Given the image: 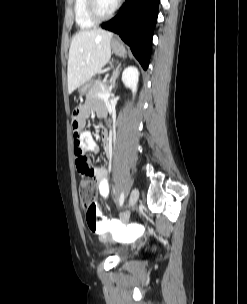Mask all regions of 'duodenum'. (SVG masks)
Instances as JSON below:
<instances>
[{"label":"duodenum","instance_id":"1","mask_svg":"<svg viewBox=\"0 0 247 304\" xmlns=\"http://www.w3.org/2000/svg\"><path fill=\"white\" fill-rule=\"evenodd\" d=\"M98 114H99L100 116H102V115H103V112H102V111H100Z\"/></svg>","mask_w":247,"mask_h":304}]
</instances>
